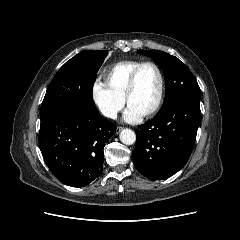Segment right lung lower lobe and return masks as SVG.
I'll use <instances>...</instances> for the list:
<instances>
[{"mask_svg":"<svg viewBox=\"0 0 240 240\" xmlns=\"http://www.w3.org/2000/svg\"><path fill=\"white\" fill-rule=\"evenodd\" d=\"M39 147L51 172L64 184L84 187L103 169V148L116 126L98 111L57 107L40 115Z\"/></svg>","mask_w":240,"mask_h":240,"instance_id":"right-lung-lower-lobe-1","label":"right lung lower lobe"}]
</instances>
